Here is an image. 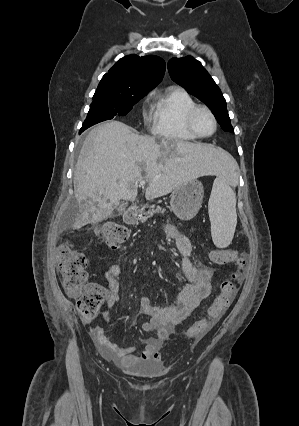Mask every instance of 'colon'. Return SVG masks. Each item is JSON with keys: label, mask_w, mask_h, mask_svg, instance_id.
Masks as SVG:
<instances>
[{"label": "colon", "mask_w": 299, "mask_h": 426, "mask_svg": "<svg viewBox=\"0 0 299 426\" xmlns=\"http://www.w3.org/2000/svg\"><path fill=\"white\" fill-rule=\"evenodd\" d=\"M103 242L110 248H116L127 238V230L116 223H107L97 229ZM209 259L217 265L236 263L240 270L221 282L219 291L207 310L206 316L196 321L186 332L190 339L205 335L230 307L242 278L245 260L242 254L231 249H212ZM57 264L61 274L62 285L66 293L77 299V308L81 317L89 322L98 314L103 302V294L93 286L86 285L87 259L85 255L67 245L59 247Z\"/></svg>", "instance_id": "1"}]
</instances>
